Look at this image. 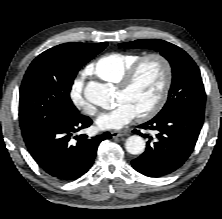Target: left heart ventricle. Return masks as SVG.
<instances>
[{
	"instance_id": "left-heart-ventricle-1",
	"label": "left heart ventricle",
	"mask_w": 222,
	"mask_h": 219,
	"mask_svg": "<svg viewBox=\"0 0 222 219\" xmlns=\"http://www.w3.org/2000/svg\"><path fill=\"white\" fill-rule=\"evenodd\" d=\"M163 80L161 64L157 60H149L141 67L129 89L117 90L116 103L127 102L137 114L142 113L156 102Z\"/></svg>"
}]
</instances>
